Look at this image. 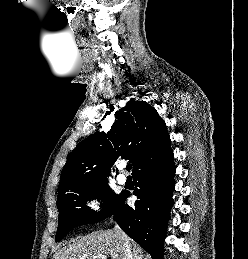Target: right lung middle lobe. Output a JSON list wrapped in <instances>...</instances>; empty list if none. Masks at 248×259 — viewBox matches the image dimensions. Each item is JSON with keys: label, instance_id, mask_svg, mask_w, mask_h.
<instances>
[{"label": "right lung middle lobe", "instance_id": "dd1d6c3e", "mask_svg": "<svg viewBox=\"0 0 248 259\" xmlns=\"http://www.w3.org/2000/svg\"><path fill=\"white\" fill-rule=\"evenodd\" d=\"M122 194L111 193L106 181L78 187L58 197L59 220L55 241H60L76 226L93 224L115 214ZM95 198L102 201V210L97 213L86 206V201Z\"/></svg>", "mask_w": 248, "mask_h": 259}]
</instances>
